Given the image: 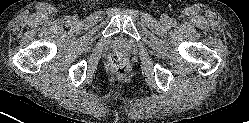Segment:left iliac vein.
Masks as SVG:
<instances>
[{
    "mask_svg": "<svg viewBox=\"0 0 249 123\" xmlns=\"http://www.w3.org/2000/svg\"><path fill=\"white\" fill-rule=\"evenodd\" d=\"M163 23H167L168 22V17L167 16H162L161 18Z\"/></svg>",
    "mask_w": 249,
    "mask_h": 123,
    "instance_id": "obj_1",
    "label": "left iliac vein"
}]
</instances>
